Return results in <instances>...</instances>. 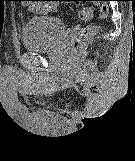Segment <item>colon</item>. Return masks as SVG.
Returning a JSON list of instances; mask_svg holds the SVG:
<instances>
[{"label":"colon","instance_id":"1","mask_svg":"<svg viewBox=\"0 0 135 161\" xmlns=\"http://www.w3.org/2000/svg\"><path fill=\"white\" fill-rule=\"evenodd\" d=\"M32 1V0H29ZM55 1V0H52ZM101 2V1H99ZM100 7V16L101 18H106L108 15V6L106 4L100 3L98 4ZM94 13V6L93 5H85L81 9V16L84 18H89ZM97 25L91 24L83 28L73 39L72 41V48L74 50H80L86 42L93 37L97 32Z\"/></svg>","mask_w":135,"mask_h":161}]
</instances>
